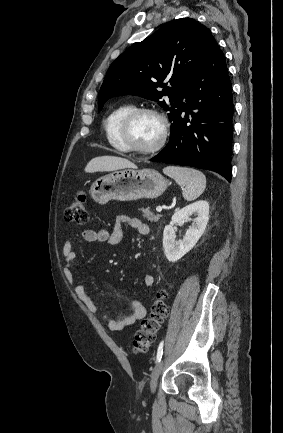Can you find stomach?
<instances>
[{"instance_id": "1", "label": "stomach", "mask_w": 283, "mask_h": 433, "mask_svg": "<svg viewBox=\"0 0 283 433\" xmlns=\"http://www.w3.org/2000/svg\"><path fill=\"white\" fill-rule=\"evenodd\" d=\"M168 186V180L154 168L117 170L100 176L90 186V194L99 204L108 200L157 198Z\"/></svg>"}]
</instances>
